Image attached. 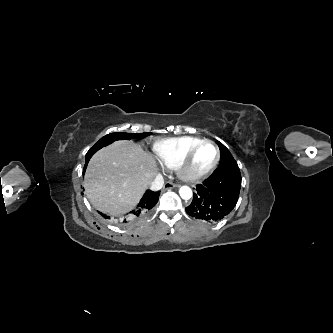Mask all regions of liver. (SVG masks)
<instances>
[{"label":"liver","instance_id":"liver-1","mask_svg":"<svg viewBox=\"0 0 333 333\" xmlns=\"http://www.w3.org/2000/svg\"><path fill=\"white\" fill-rule=\"evenodd\" d=\"M157 174L152 156L132 141H116L91 158L84 187L92 205L110 215L129 211Z\"/></svg>","mask_w":333,"mask_h":333}]
</instances>
